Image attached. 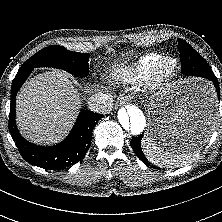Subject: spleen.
Listing matches in <instances>:
<instances>
[{
    "label": "spleen",
    "instance_id": "3e777b00",
    "mask_svg": "<svg viewBox=\"0 0 222 222\" xmlns=\"http://www.w3.org/2000/svg\"><path fill=\"white\" fill-rule=\"evenodd\" d=\"M142 149L148 160L159 167H181L192 161L200 150H181L165 148L152 139L142 140Z\"/></svg>",
    "mask_w": 222,
    "mask_h": 222
}]
</instances>
